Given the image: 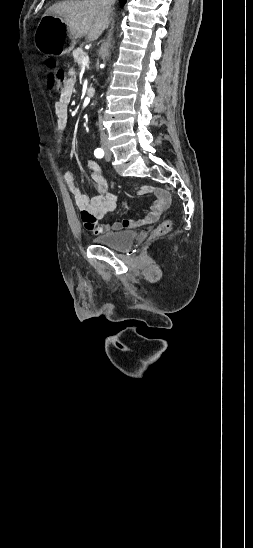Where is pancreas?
<instances>
[{
  "instance_id": "1",
  "label": "pancreas",
  "mask_w": 253,
  "mask_h": 548,
  "mask_svg": "<svg viewBox=\"0 0 253 548\" xmlns=\"http://www.w3.org/2000/svg\"><path fill=\"white\" fill-rule=\"evenodd\" d=\"M73 57H74V61L79 65L81 66L82 65V58L85 56V52L83 51L82 48H77L73 51Z\"/></svg>"
}]
</instances>
